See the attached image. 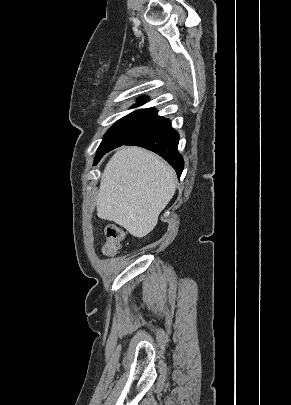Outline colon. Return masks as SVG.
<instances>
[{"mask_svg": "<svg viewBox=\"0 0 291 405\" xmlns=\"http://www.w3.org/2000/svg\"><path fill=\"white\" fill-rule=\"evenodd\" d=\"M125 234L123 230L115 225L106 227V241L103 246V253L106 256H115L124 241Z\"/></svg>", "mask_w": 291, "mask_h": 405, "instance_id": "5ec220e1", "label": "colon"}]
</instances>
